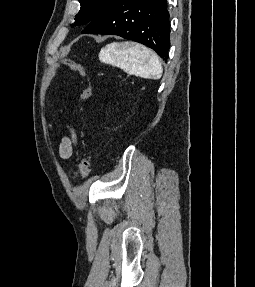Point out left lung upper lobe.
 <instances>
[{"instance_id":"left-lung-upper-lobe-1","label":"left lung upper lobe","mask_w":255,"mask_h":287,"mask_svg":"<svg viewBox=\"0 0 255 287\" xmlns=\"http://www.w3.org/2000/svg\"><path fill=\"white\" fill-rule=\"evenodd\" d=\"M81 8L75 16V25L88 24L98 15L112 0H78ZM73 26V24L71 25Z\"/></svg>"}]
</instances>
